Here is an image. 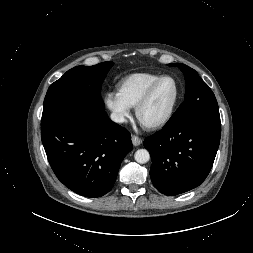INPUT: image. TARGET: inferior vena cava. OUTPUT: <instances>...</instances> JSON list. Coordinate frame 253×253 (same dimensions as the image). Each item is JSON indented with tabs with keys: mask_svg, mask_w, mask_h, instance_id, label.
<instances>
[{
	"mask_svg": "<svg viewBox=\"0 0 253 253\" xmlns=\"http://www.w3.org/2000/svg\"><path fill=\"white\" fill-rule=\"evenodd\" d=\"M111 120L116 123H123L125 121V118L121 114L112 113L110 116Z\"/></svg>",
	"mask_w": 253,
	"mask_h": 253,
	"instance_id": "1",
	"label": "inferior vena cava"
}]
</instances>
